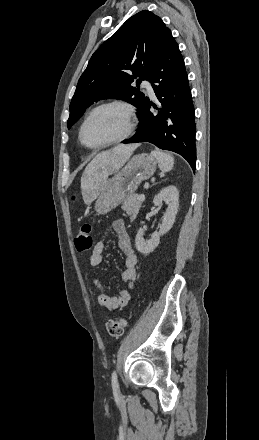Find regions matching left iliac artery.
Masks as SVG:
<instances>
[{
  "instance_id": "left-iliac-artery-1",
  "label": "left iliac artery",
  "mask_w": 259,
  "mask_h": 440,
  "mask_svg": "<svg viewBox=\"0 0 259 440\" xmlns=\"http://www.w3.org/2000/svg\"><path fill=\"white\" fill-rule=\"evenodd\" d=\"M111 380H112L113 388L118 389L119 388V384H118V379H117L116 371H113Z\"/></svg>"
}]
</instances>
